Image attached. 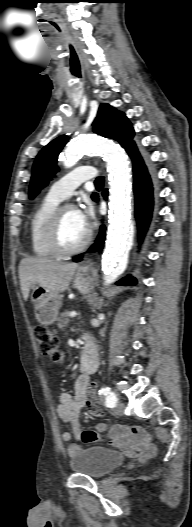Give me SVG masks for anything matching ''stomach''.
<instances>
[{"instance_id": "stomach-1", "label": "stomach", "mask_w": 192, "mask_h": 527, "mask_svg": "<svg viewBox=\"0 0 192 527\" xmlns=\"http://www.w3.org/2000/svg\"><path fill=\"white\" fill-rule=\"evenodd\" d=\"M95 274L86 269H79L74 278V287L81 293L88 294L93 290ZM31 299L34 303V314L42 325L53 324L58 317L59 309L62 304V295L39 286L33 285Z\"/></svg>"}]
</instances>
